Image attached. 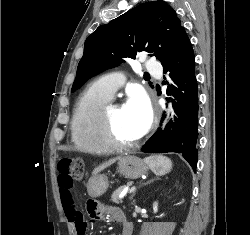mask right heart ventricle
Returning a JSON list of instances; mask_svg holds the SVG:
<instances>
[{"label":"right heart ventricle","mask_w":250,"mask_h":235,"mask_svg":"<svg viewBox=\"0 0 250 235\" xmlns=\"http://www.w3.org/2000/svg\"><path fill=\"white\" fill-rule=\"evenodd\" d=\"M111 99L93 84L78 99L72 115L71 136L80 152L99 155L112 150L104 137L102 120V111Z\"/></svg>","instance_id":"1"}]
</instances>
